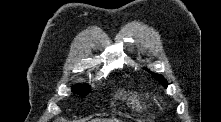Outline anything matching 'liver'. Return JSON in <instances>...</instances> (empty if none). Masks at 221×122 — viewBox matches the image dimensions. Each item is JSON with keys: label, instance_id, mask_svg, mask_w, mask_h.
I'll return each instance as SVG.
<instances>
[{"label": "liver", "instance_id": "obj_1", "mask_svg": "<svg viewBox=\"0 0 221 122\" xmlns=\"http://www.w3.org/2000/svg\"><path fill=\"white\" fill-rule=\"evenodd\" d=\"M97 122H119L117 119H97Z\"/></svg>", "mask_w": 221, "mask_h": 122}]
</instances>
